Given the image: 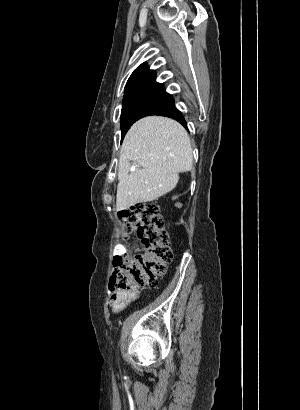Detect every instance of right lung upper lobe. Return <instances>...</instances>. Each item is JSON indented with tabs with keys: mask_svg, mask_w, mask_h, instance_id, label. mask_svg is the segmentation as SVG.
<instances>
[{
	"mask_svg": "<svg viewBox=\"0 0 300 410\" xmlns=\"http://www.w3.org/2000/svg\"><path fill=\"white\" fill-rule=\"evenodd\" d=\"M154 70H149L146 63L141 64L128 79L125 88L140 84H156Z\"/></svg>",
	"mask_w": 300,
	"mask_h": 410,
	"instance_id": "obj_1",
	"label": "right lung upper lobe"
}]
</instances>
